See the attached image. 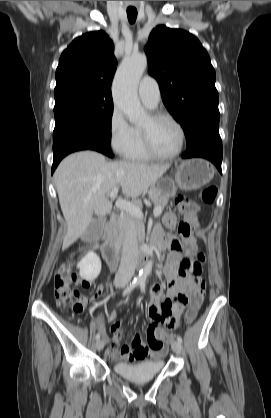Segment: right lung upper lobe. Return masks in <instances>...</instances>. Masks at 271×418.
<instances>
[{
    "label": "right lung upper lobe",
    "instance_id": "right-lung-upper-lobe-1",
    "mask_svg": "<svg viewBox=\"0 0 271 418\" xmlns=\"http://www.w3.org/2000/svg\"><path fill=\"white\" fill-rule=\"evenodd\" d=\"M116 68L113 44L105 32H89L76 38L59 60L55 102L70 98L112 100Z\"/></svg>",
    "mask_w": 271,
    "mask_h": 418
}]
</instances>
